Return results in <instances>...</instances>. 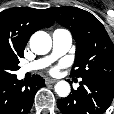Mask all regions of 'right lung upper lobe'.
Returning <instances> with one entry per match:
<instances>
[{
    "mask_svg": "<svg viewBox=\"0 0 114 114\" xmlns=\"http://www.w3.org/2000/svg\"><path fill=\"white\" fill-rule=\"evenodd\" d=\"M53 23L54 20L45 10L16 7L1 12L0 56L23 57L24 48L31 35Z\"/></svg>",
    "mask_w": 114,
    "mask_h": 114,
    "instance_id": "cb5924a9",
    "label": "right lung upper lobe"
}]
</instances>
